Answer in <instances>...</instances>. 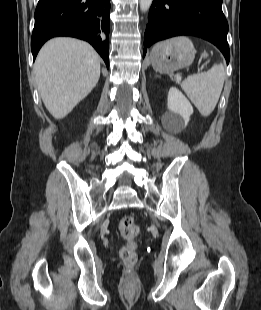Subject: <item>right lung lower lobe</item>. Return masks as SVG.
<instances>
[{"label": "right lung lower lobe", "instance_id": "1", "mask_svg": "<svg viewBox=\"0 0 261 310\" xmlns=\"http://www.w3.org/2000/svg\"><path fill=\"white\" fill-rule=\"evenodd\" d=\"M110 0H39L31 38L33 59L41 46L55 36L88 41L109 67Z\"/></svg>", "mask_w": 261, "mask_h": 310}]
</instances>
